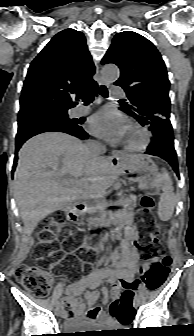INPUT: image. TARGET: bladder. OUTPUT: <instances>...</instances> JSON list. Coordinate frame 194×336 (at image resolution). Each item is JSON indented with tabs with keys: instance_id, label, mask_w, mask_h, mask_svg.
Returning <instances> with one entry per match:
<instances>
[{
	"instance_id": "bladder-1",
	"label": "bladder",
	"mask_w": 194,
	"mask_h": 336,
	"mask_svg": "<svg viewBox=\"0 0 194 336\" xmlns=\"http://www.w3.org/2000/svg\"><path fill=\"white\" fill-rule=\"evenodd\" d=\"M70 324L73 326V330L84 329V327L77 321H73Z\"/></svg>"
}]
</instances>
